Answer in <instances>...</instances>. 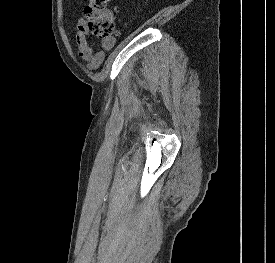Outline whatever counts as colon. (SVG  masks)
<instances>
[{"label": "colon", "instance_id": "colon-1", "mask_svg": "<svg viewBox=\"0 0 275 263\" xmlns=\"http://www.w3.org/2000/svg\"><path fill=\"white\" fill-rule=\"evenodd\" d=\"M109 2L110 0H86L83 9L86 29L104 41L117 35L115 25L107 15Z\"/></svg>", "mask_w": 275, "mask_h": 263}]
</instances>
